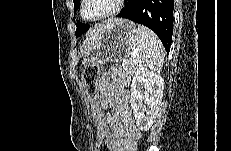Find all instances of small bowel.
<instances>
[{"instance_id":"c3829d8e","label":"small bowel","mask_w":231,"mask_h":151,"mask_svg":"<svg viewBox=\"0 0 231 151\" xmlns=\"http://www.w3.org/2000/svg\"><path fill=\"white\" fill-rule=\"evenodd\" d=\"M128 78L117 69L103 74L99 84V102L108 126L111 151H134L141 132L135 125L125 87Z\"/></svg>"}]
</instances>
